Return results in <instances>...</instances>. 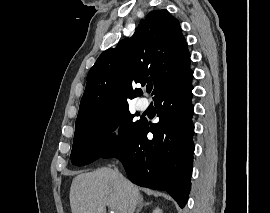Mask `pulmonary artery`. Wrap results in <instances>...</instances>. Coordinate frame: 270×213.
<instances>
[{
	"label": "pulmonary artery",
	"mask_w": 270,
	"mask_h": 213,
	"mask_svg": "<svg viewBox=\"0 0 270 213\" xmlns=\"http://www.w3.org/2000/svg\"><path fill=\"white\" fill-rule=\"evenodd\" d=\"M147 106H148V103H147V101H145V100H139V101L137 102V108H138L139 110H145V109L147 108Z\"/></svg>",
	"instance_id": "e3ab8cb5"
}]
</instances>
